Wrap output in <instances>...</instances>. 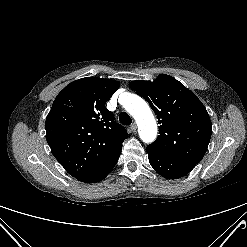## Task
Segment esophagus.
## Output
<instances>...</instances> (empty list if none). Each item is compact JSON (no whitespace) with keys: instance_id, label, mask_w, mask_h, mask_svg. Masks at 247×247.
Returning a JSON list of instances; mask_svg holds the SVG:
<instances>
[{"instance_id":"obj_1","label":"esophagus","mask_w":247,"mask_h":247,"mask_svg":"<svg viewBox=\"0 0 247 247\" xmlns=\"http://www.w3.org/2000/svg\"><path fill=\"white\" fill-rule=\"evenodd\" d=\"M130 129H131L132 132H135L136 129H137L136 123H132V124L130 125Z\"/></svg>"}]
</instances>
